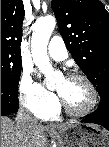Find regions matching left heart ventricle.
<instances>
[{"instance_id": "1", "label": "left heart ventricle", "mask_w": 109, "mask_h": 147, "mask_svg": "<svg viewBox=\"0 0 109 147\" xmlns=\"http://www.w3.org/2000/svg\"><path fill=\"white\" fill-rule=\"evenodd\" d=\"M56 90L74 110H84L92 102L91 90L82 80L63 78L58 82Z\"/></svg>"}]
</instances>
